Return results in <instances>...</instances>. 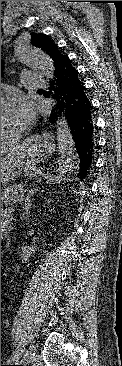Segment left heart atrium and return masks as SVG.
<instances>
[{
	"mask_svg": "<svg viewBox=\"0 0 122 366\" xmlns=\"http://www.w3.org/2000/svg\"><path fill=\"white\" fill-rule=\"evenodd\" d=\"M15 102H16L17 114L21 120L20 125L24 126L28 124L33 117L31 104L22 97L17 98Z\"/></svg>",
	"mask_w": 122,
	"mask_h": 366,
	"instance_id": "39dd6f15",
	"label": "left heart atrium"
}]
</instances>
